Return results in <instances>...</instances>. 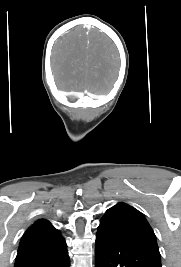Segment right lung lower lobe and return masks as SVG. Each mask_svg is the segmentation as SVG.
Here are the masks:
<instances>
[{"label":"right lung lower lobe","instance_id":"obj_1","mask_svg":"<svg viewBox=\"0 0 181 267\" xmlns=\"http://www.w3.org/2000/svg\"><path fill=\"white\" fill-rule=\"evenodd\" d=\"M66 247L53 252L18 253L14 267H69Z\"/></svg>","mask_w":181,"mask_h":267}]
</instances>
